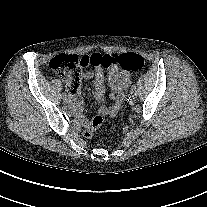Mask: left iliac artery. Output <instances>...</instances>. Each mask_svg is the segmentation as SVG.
Returning <instances> with one entry per match:
<instances>
[{
  "instance_id": "44dca946",
  "label": "left iliac artery",
  "mask_w": 207,
  "mask_h": 207,
  "mask_svg": "<svg viewBox=\"0 0 207 207\" xmlns=\"http://www.w3.org/2000/svg\"><path fill=\"white\" fill-rule=\"evenodd\" d=\"M135 90H136V86H135V85H132V87H131V89H130V92H131V93H134Z\"/></svg>"
}]
</instances>
